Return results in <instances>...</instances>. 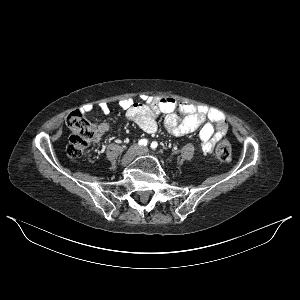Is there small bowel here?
Here are the masks:
<instances>
[{
	"label": "small bowel",
	"mask_w": 300,
	"mask_h": 300,
	"mask_svg": "<svg viewBox=\"0 0 300 300\" xmlns=\"http://www.w3.org/2000/svg\"><path fill=\"white\" fill-rule=\"evenodd\" d=\"M118 106L126 111V117L129 121L149 134L158 130L156 118L160 114L164 115L163 127L165 131L172 136L178 137L198 131L201 148L205 153L212 152L215 144L225 136L228 129L227 123L216 109L179 101L168 96H148L140 102L124 99L118 102ZM92 109L91 104L83 106L85 113L91 112ZM99 109L103 114L110 113L108 103L99 104ZM218 120L224 122L223 129L214 126L213 122ZM94 126V139L99 141L108 131L109 124L107 122H94Z\"/></svg>",
	"instance_id": "small-bowel-1"
}]
</instances>
